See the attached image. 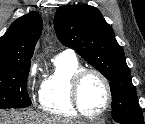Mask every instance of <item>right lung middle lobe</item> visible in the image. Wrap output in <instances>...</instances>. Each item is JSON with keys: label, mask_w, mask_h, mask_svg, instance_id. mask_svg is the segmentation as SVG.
I'll list each match as a JSON object with an SVG mask.
<instances>
[{"label": "right lung middle lobe", "mask_w": 145, "mask_h": 124, "mask_svg": "<svg viewBox=\"0 0 145 124\" xmlns=\"http://www.w3.org/2000/svg\"><path fill=\"white\" fill-rule=\"evenodd\" d=\"M31 62L0 66V109L31 105L26 87Z\"/></svg>", "instance_id": "1"}]
</instances>
